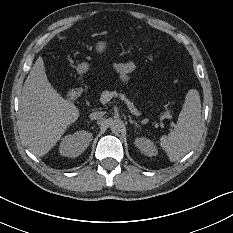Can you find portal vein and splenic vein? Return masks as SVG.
Masks as SVG:
<instances>
[{
  "label": "portal vein and splenic vein",
  "instance_id": "portal-vein-and-splenic-vein-1",
  "mask_svg": "<svg viewBox=\"0 0 233 233\" xmlns=\"http://www.w3.org/2000/svg\"><path fill=\"white\" fill-rule=\"evenodd\" d=\"M116 97L119 98V99H121L124 103H126L127 107L131 109V111H132V113H133L134 115H136L137 117H140V116L142 115V113H141L139 110H137V109L132 105V102H131V101H128V98L125 97L124 94H122V93H117V94H116ZM110 98H111V97H110ZM102 100H103L104 102H107V101H108V99H104L103 97H102ZM171 126H175V124H174V123H171Z\"/></svg>",
  "mask_w": 233,
  "mask_h": 233
}]
</instances>
